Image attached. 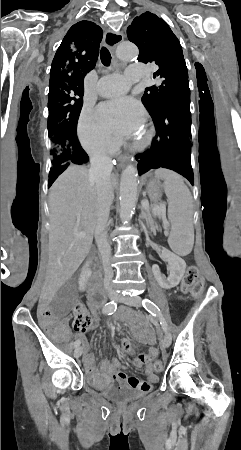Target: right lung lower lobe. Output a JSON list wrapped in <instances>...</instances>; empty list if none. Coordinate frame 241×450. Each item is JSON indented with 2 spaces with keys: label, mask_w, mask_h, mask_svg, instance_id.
I'll return each mask as SVG.
<instances>
[{
  "label": "right lung lower lobe",
  "mask_w": 241,
  "mask_h": 450,
  "mask_svg": "<svg viewBox=\"0 0 241 450\" xmlns=\"http://www.w3.org/2000/svg\"><path fill=\"white\" fill-rule=\"evenodd\" d=\"M63 135L70 146L71 157L70 161L64 165L52 168L49 172L48 187H50L57 177L70 165V164H83L87 163L89 158L86 152L82 149L74 130H64Z\"/></svg>",
  "instance_id": "1"
}]
</instances>
